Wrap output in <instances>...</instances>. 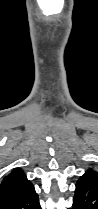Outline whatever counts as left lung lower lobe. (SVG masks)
I'll return each mask as SVG.
<instances>
[{
	"instance_id": "0a47b994",
	"label": "left lung lower lobe",
	"mask_w": 98,
	"mask_h": 209,
	"mask_svg": "<svg viewBox=\"0 0 98 209\" xmlns=\"http://www.w3.org/2000/svg\"><path fill=\"white\" fill-rule=\"evenodd\" d=\"M70 209H98V182L80 178L76 183L73 206Z\"/></svg>"
}]
</instances>
